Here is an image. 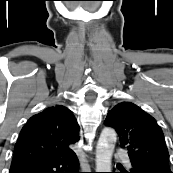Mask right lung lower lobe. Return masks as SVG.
<instances>
[{"label":"right lung lower lobe","mask_w":173,"mask_h":173,"mask_svg":"<svg viewBox=\"0 0 173 173\" xmlns=\"http://www.w3.org/2000/svg\"><path fill=\"white\" fill-rule=\"evenodd\" d=\"M9 173H80L79 161L72 151L60 157L11 166Z\"/></svg>","instance_id":"1"}]
</instances>
